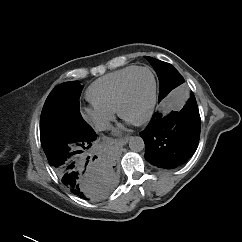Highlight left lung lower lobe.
Masks as SVG:
<instances>
[{"label": "left lung lower lobe", "instance_id": "0a47b994", "mask_svg": "<svg viewBox=\"0 0 242 242\" xmlns=\"http://www.w3.org/2000/svg\"><path fill=\"white\" fill-rule=\"evenodd\" d=\"M201 119L194 94L179 112L155 113L140 135L145 142V159L165 169L184 164L196 151Z\"/></svg>", "mask_w": 242, "mask_h": 242}]
</instances>
